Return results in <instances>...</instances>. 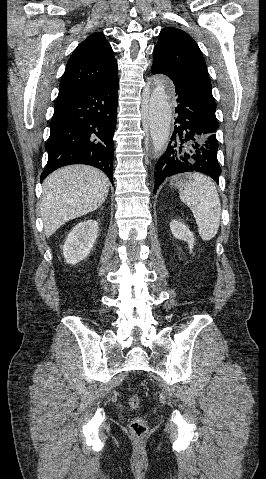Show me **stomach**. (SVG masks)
I'll list each match as a JSON object with an SVG mask.
<instances>
[{
	"instance_id": "stomach-1",
	"label": "stomach",
	"mask_w": 266,
	"mask_h": 479,
	"mask_svg": "<svg viewBox=\"0 0 266 479\" xmlns=\"http://www.w3.org/2000/svg\"><path fill=\"white\" fill-rule=\"evenodd\" d=\"M186 180H187V179L179 178V179H176V180L172 181L171 184H172L173 186L177 187V188H179V187L182 188V185H183L184 181H186Z\"/></svg>"
}]
</instances>
